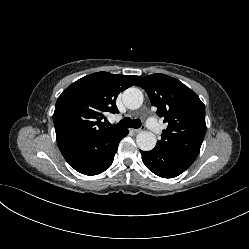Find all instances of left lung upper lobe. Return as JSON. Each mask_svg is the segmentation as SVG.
Returning a JSON list of instances; mask_svg holds the SVG:
<instances>
[{
    "label": "left lung upper lobe",
    "mask_w": 249,
    "mask_h": 249,
    "mask_svg": "<svg viewBox=\"0 0 249 249\" xmlns=\"http://www.w3.org/2000/svg\"><path fill=\"white\" fill-rule=\"evenodd\" d=\"M148 94L168 124L154 149L197 157L206 133L205 106L190 88L165 74L146 76L136 84Z\"/></svg>",
    "instance_id": "1"
}]
</instances>
